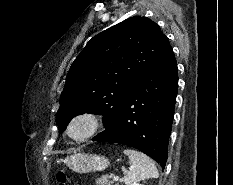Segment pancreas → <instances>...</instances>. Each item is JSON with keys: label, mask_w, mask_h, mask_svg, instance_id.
I'll list each match as a JSON object with an SVG mask.
<instances>
[{"label": "pancreas", "mask_w": 233, "mask_h": 185, "mask_svg": "<svg viewBox=\"0 0 233 185\" xmlns=\"http://www.w3.org/2000/svg\"><path fill=\"white\" fill-rule=\"evenodd\" d=\"M113 181L109 179V176H101L95 180V185H111ZM118 185V184H116Z\"/></svg>", "instance_id": "cf45deb5"}]
</instances>
